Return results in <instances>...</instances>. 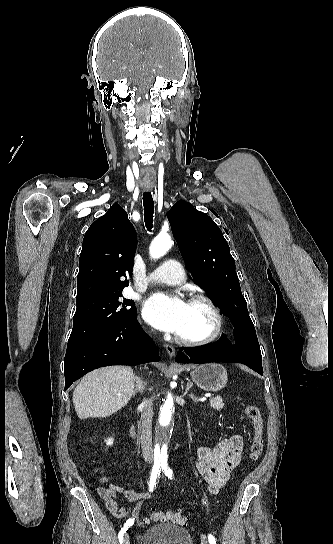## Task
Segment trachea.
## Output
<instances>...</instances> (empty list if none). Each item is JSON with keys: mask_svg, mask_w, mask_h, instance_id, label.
Wrapping results in <instances>:
<instances>
[{"mask_svg": "<svg viewBox=\"0 0 333 544\" xmlns=\"http://www.w3.org/2000/svg\"><path fill=\"white\" fill-rule=\"evenodd\" d=\"M143 206H144V222L149 231H151L153 225V213L154 204L153 198L150 192L143 193Z\"/></svg>", "mask_w": 333, "mask_h": 544, "instance_id": "trachea-1", "label": "trachea"}]
</instances>
